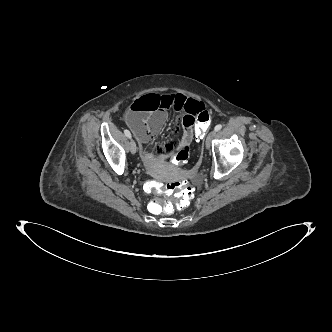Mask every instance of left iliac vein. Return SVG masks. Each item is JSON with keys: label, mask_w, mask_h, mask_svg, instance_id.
Instances as JSON below:
<instances>
[{"label": "left iliac vein", "mask_w": 332, "mask_h": 332, "mask_svg": "<svg viewBox=\"0 0 332 332\" xmlns=\"http://www.w3.org/2000/svg\"><path fill=\"white\" fill-rule=\"evenodd\" d=\"M215 134H216V131H215V130H212V131L207 135V137H206V141H205V146H206L207 149L210 148L211 141H212V139L214 138Z\"/></svg>", "instance_id": "1"}]
</instances>
